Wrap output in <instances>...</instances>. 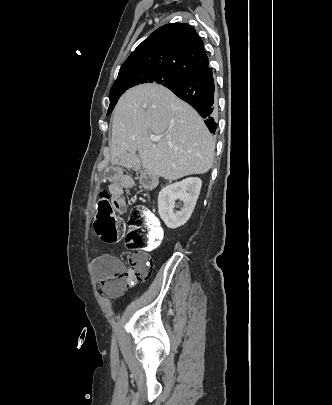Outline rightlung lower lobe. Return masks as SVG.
<instances>
[{"label": "right lung lower lobe", "mask_w": 332, "mask_h": 405, "mask_svg": "<svg viewBox=\"0 0 332 405\" xmlns=\"http://www.w3.org/2000/svg\"><path fill=\"white\" fill-rule=\"evenodd\" d=\"M167 88L195 108L206 119L204 122L210 132L215 133L217 128L214 119L217 110L216 84L209 66L185 76Z\"/></svg>", "instance_id": "obj_1"}]
</instances>
